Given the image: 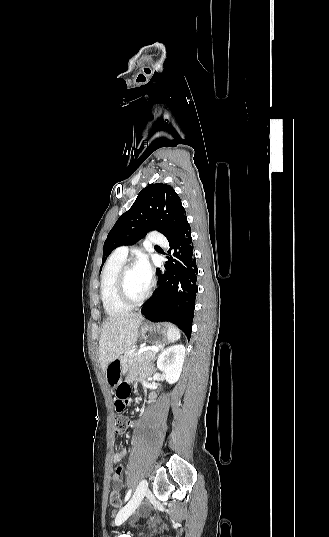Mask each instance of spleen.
<instances>
[{
	"label": "spleen",
	"mask_w": 329,
	"mask_h": 537,
	"mask_svg": "<svg viewBox=\"0 0 329 537\" xmlns=\"http://www.w3.org/2000/svg\"><path fill=\"white\" fill-rule=\"evenodd\" d=\"M180 330L174 325H169L168 341L174 343L180 339Z\"/></svg>",
	"instance_id": "3e777b00"
}]
</instances>
